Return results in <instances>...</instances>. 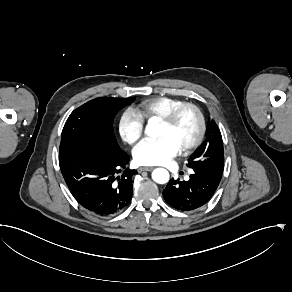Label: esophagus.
I'll use <instances>...</instances> for the list:
<instances>
[{
    "label": "esophagus",
    "mask_w": 292,
    "mask_h": 292,
    "mask_svg": "<svg viewBox=\"0 0 292 292\" xmlns=\"http://www.w3.org/2000/svg\"><path fill=\"white\" fill-rule=\"evenodd\" d=\"M154 169V167H140L138 168V172H142V171H152Z\"/></svg>",
    "instance_id": "obj_1"
}]
</instances>
